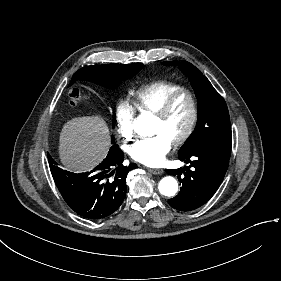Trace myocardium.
<instances>
[{
    "label": "myocardium",
    "mask_w": 281,
    "mask_h": 281,
    "mask_svg": "<svg viewBox=\"0 0 281 281\" xmlns=\"http://www.w3.org/2000/svg\"><path fill=\"white\" fill-rule=\"evenodd\" d=\"M180 98H187L190 104V119L184 132L171 140L174 145H181L185 143L193 134L198 121V106L197 101L193 94L189 91H181L171 95L166 101L155 111L151 112L150 115L156 119H163L169 113L173 104Z\"/></svg>",
    "instance_id": "1"
}]
</instances>
